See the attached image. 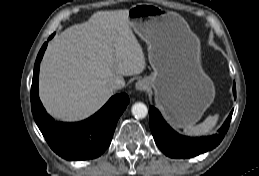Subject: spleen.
I'll use <instances>...</instances> for the list:
<instances>
[{
	"instance_id": "spleen-1",
	"label": "spleen",
	"mask_w": 259,
	"mask_h": 176,
	"mask_svg": "<svg viewBox=\"0 0 259 176\" xmlns=\"http://www.w3.org/2000/svg\"><path fill=\"white\" fill-rule=\"evenodd\" d=\"M219 115H210L202 123L198 125H188L184 128L183 132L188 136H202L207 135L216 126Z\"/></svg>"
}]
</instances>
